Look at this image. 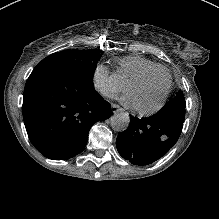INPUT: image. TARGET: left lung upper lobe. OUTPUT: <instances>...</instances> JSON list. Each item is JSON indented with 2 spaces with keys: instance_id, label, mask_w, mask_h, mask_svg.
<instances>
[{
  "instance_id": "obj_1",
  "label": "left lung upper lobe",
  "mask_w": 219,
  "mask_h": 219,
  "mask_svg": "<svg viewBox=\"0 0 219 219\" xmlns=\"http://www.w3.org/2000/svg\"><path fill=\"white\" fill-rule=\"evenodd\" d=\"M156 115L173 118L183 123L185 119V99L182 91L157 112Z\"/></svg>"
}]
</instances>
